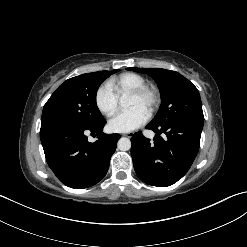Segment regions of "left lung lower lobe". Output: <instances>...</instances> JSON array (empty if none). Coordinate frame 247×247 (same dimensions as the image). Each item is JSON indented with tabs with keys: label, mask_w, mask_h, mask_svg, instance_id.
Returning <instances> with one entry per match:
<instances>
[{
	"label": "left lung lower lobe",
	"mask_w": 247,
	"mask_h": 247,
	"mask_svg": "<svg viewBox=\"0 0 247 247\" xmlns=\"http://www.w3.org/2000/svg\"><path fill=\"white\" fill-rule=\"evenodd\" d=\"M157 133L154 142L141 132L132 138L131 156L139 179L157 187H167L180 180L191 167L200 145L203 122L176 118L165 125L148 124ZM161 133L166 136L162 138Z\"/></svg>",
	"instance_id": "obj_1"
}]
</instances>
